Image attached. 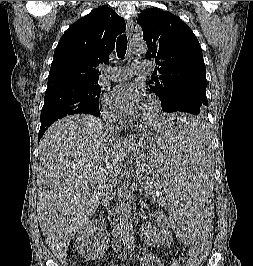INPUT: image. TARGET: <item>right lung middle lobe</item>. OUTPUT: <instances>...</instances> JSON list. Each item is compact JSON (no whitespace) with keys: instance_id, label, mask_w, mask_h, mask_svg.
<instances>
[{"instance_id":"right-lung-middle-lobe-1","label":"right lung middle lobe","mask_w":253,"mask_h":266,"mask_svg":"<svg viewBox=\"0 0 253 266\" xmlns=\"http://www.w3.org/2000/svg\"><path fill=\"white\" fill-rule=\"evenodd\" d=\"M101 88L97 83L66 85L46 90L41 111V127L67 115L85 113L99 114Z\"/></svg>"}]
</instances>
